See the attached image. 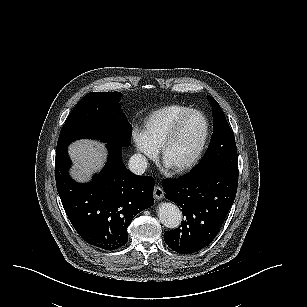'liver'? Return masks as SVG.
<instances>
[{
	"instance_id": "6515ba94",
	"label": "liver",
	"mask_w": 307,
	"mask_h": 307,
	"mask_svg": "<svg viewBox=\"0 0 307 307\" xmlns=\"http://www.w3.org/2000/svg\"><path fill=\"white\" fill-rule=\"evenodd\" d=\"M71 165L67 168L69 177L77 184L88 185L99 174L110 156L107 143L95 138H80L67 146Z\"/></svg>"
}]
</instances>
